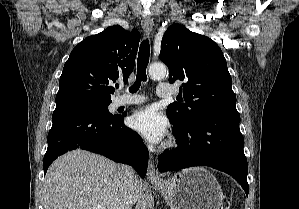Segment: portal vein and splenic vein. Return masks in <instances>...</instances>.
<instances>
[{"instance_id": "18ae733b", "label": "portal vein and splenic vein", "mask_w": 299, "mask_h": 209, "mask_svg": "<svg viewBox=\"0 0 299 209\" xmlns=\"http://www.w3.org/2000/svg\"><path fill=\"white\" fill-rule=\"evenodd\" d=\"M94 209H101V206L97 205V206L94 207Z\"/></svg>"}]
</instances>
